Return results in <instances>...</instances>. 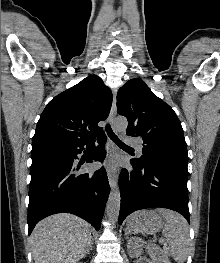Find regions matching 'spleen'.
Masks as SVG:
<instances>
[{
    "label": "spleen",
    "mask_w": 220,
    "mask_h": 263,
    "mask_svg": "<svg viewBox=\"0 0 220 263\" xmlns=\"http://www.w3.org/2000/svg\"><path fill=\"white\" fill-rule=\"evenodd\" d=\"M157 212L166 219L163 235L169 240L168 253L178 263H184L189 251V227L183 216L172 210L159 208Z\"/></svg>",
    "instance_id": "1"
}]
</instances>
